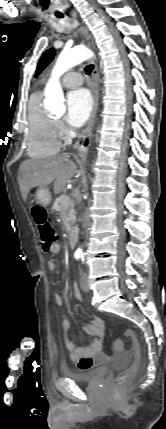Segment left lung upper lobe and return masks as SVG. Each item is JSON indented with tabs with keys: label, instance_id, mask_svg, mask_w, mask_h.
<instances>
[{
	"label": "left lung upper lobe",
	"instance_id": "obj_1",
	"mask_svg": "<svg viewBox=\"0 0 166 429\" xmlns=\"http://www.w3.org/2000/svg\"><path fill=\"white\" fill-rule=\"evenodd\" d=\"M55 56V50L54 48H50L48 49L40 58L39 63L37 65V70L35 72V76H38L42 70H44L47 65L50 63V61L54 58Z\"/></svg>",
	"mask_w": 166,
	"mask_h": 429
}]
</instances>
